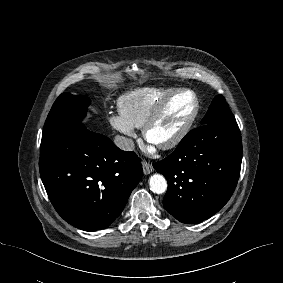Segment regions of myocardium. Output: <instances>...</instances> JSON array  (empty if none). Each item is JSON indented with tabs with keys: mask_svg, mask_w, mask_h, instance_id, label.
<instances>
[{
	"mask_svg": "<svg viewBox=\"0 0 283 283\" xmlns=\"http://www.w3.org/2000/svg\"><path fill=\"white\" fill-rule=\"evenodd\" d=\"M189 94L194 102L193 109L188 116L187 120L183 123V125L180 127V129L168 140L155 144L157 147L163 150L172 149L175 146H177L191 131L198 115L200 112V101L198 99V96L195 92L188 90V89H179L174 90L171 92L167 97H165L149 114L147 119L145 120L143 126H142V132L143 136L146 139V141L153 143L150 140V131L154 124L157 122V120L161 117V115L164 113L166 108L169 106V104L178 96Z\"/></svg>",
	"mask_w": 283,
	"mask_h": 283,
	"instance_id": "obj_1",
	"label": "myocardium"
}]
</instances>
